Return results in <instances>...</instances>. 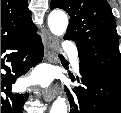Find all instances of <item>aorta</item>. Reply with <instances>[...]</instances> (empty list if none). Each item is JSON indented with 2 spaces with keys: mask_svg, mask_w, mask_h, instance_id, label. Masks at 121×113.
<instances>
[{
  "mask_svg": "<svg viewBox=\"0 0 121 113\" xmlns=\"http://www.w3.org/2000/svg\"><path fill=\"white\" fill-rule=\"evenodd\" d=\"M48 26L54 35H63L68 27L67 15L61 10H53L48 16ZM50 113H67L65 98L58 97L54 101Z\"/></svg>",
  "mask_w": 121,
  "mask_h": 113,
  "instance_id": "aorta-1",
  "label": "aorta"
}]
</instances>
